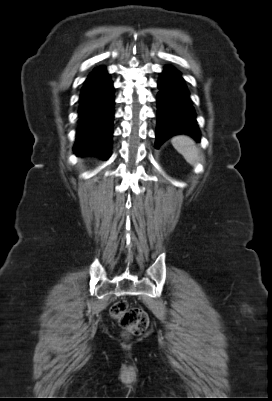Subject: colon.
Listing matches in <instances>:
<instances>
[{
  "mask_svg": "<svg viewBox=\"0 0 272 401\" xmlns=\"http://www.w3.org/2000/svg\"><path fill=\"white\" fill-rule=\"evenodd\" d=\"M110 315L117 320L127 335L143 333L149 324L147 313L138 307H130L125 300H118L110 308Z\"/></svg>",
  "mask_w": 272,
  "mask_h": 401,
  "instance_id": "colon-1",
  "label": "colon"
}]
</instances>
